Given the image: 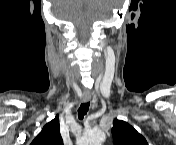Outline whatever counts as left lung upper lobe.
I'll return each instance as SVG.
<instances>
[{
	"mask_svg": "<svg viewBox=\"0 0 176 145\" xmlns=\"http://www.w3.org/2000/svg\"><path fill=\"white\" fill-rule=\"evenodd\" d=\"M112 135L114 145H148L141 134L121 120H114Z\"/></svg>",
	"mask_w": 176,
	"mask_h": 145,
	"instance_id": "1",
	"label": "left lung upper lobe"
}]
</instances>
